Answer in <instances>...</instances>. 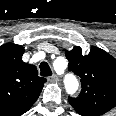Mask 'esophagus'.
<instances>
[{"instance_id":"34e87169","label":"esophagus","mask_w":116,"mask_h":116,"mask_svg":"<svg viewBox=\"0 0 116 116\" xmlns=\"http://www.w3.org/2000/svg\"><path fill=\"white\" fill-rule=\"evenodd\" d=\"M48 81L49 82H57L58 81V77L55 74H53L50 77H48Z\"/></svg>"}]
</instances>
